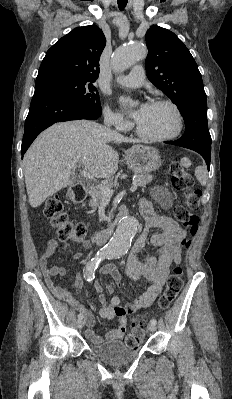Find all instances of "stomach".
<instances>
[{"instance_id":"stomach-1","label":"stomach","mask_w":232,"mask_h":399,"mask_svg":"<svg viewBox=\"0 0 232 399\" xmlns=\"http://www.w3.org/2000/svg\"><path fill=\"white\" fill-rule=\"evenodd\" d=\"M129 170L135 174H145L160 168L161 156L157 148L152 146H132L124 158Z\"/></svg>"}]
</instances>
